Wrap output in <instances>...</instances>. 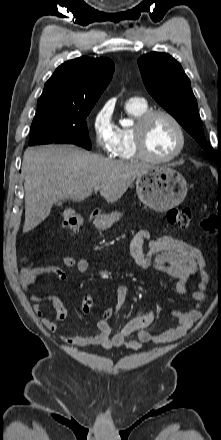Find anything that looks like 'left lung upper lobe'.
<instances>
[{"mask_svg":"<svg viewBox=\"0 0 221 440\" xmlns=\"http://www.w3.org/2000/svg\"><path fill=\"white\" fill-rule=\"evenodd\" d=\"M141 76L151 96L214 157L205 139L196 98L181 65L167 53L152 52L138 59Z\"/></svg>","mask_w":221,"mask_h":440,"instance_id":"obj_1","label":"left lung upper lobe"}]
</instances>
